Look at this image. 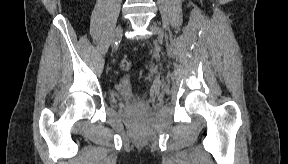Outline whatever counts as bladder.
Segmentation results:
<instances>
[{"instance_id": "31cf9c89", "label": "bladder", "mask_w": 288, "mask_h": 164, "mask_svg": "<svg viewBox=\"0 0 288 164\" xmlns=\"http://www.w3.org/2000/svg\"><path fill=\"white\" fill-rule=\"evenodd\" d=\"M113 96L117 102L134 103L138 100L131 81L126 76L117 81Z\"/></svg>"}]
</instances>
